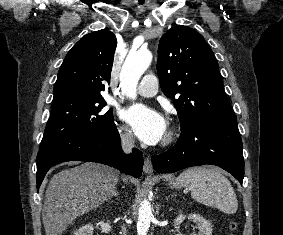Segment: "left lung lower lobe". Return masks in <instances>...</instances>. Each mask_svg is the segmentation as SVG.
<instances>
[{"mask_svg":"<svg viewBox=\"0 0 283 235\" xmlns=\"http://www.w3.org/2000/svg\"><path fill=\"white\" fill-rule=\"evenodd\" d=\"M151 160L159 173L213 164L231 173L240 183L244 177L242 141L236 119L201 124L182 131L175 146L152 156Z\"/></svg>","mask_w":283,"mask_h":235,"instance_id":"left-lung-lower-lobe-1","label":"left lung lower lobe"}]
</instances>
